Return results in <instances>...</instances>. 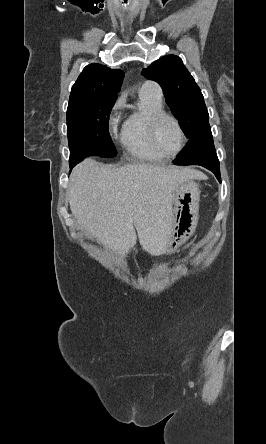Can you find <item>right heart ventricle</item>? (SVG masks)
<instances>
[{"instance_id": "1", "label": "right heart ventricle", "mask_w": 266, "mask_h": 444, "mask_svg": "<svg viewBox=\"0 0 266 444\" xmlns=\"http://www.w3.org/2000/svg\"><path fill=\"white\" fill-rule=\"evenodd\" d=\"M161 111H163L162 99L139 93L138 108L126 119L121 135L122 146L132 158L141 161L165 159L153 148L148 133L151 116Z\"/></svg>"}]
</instances>
